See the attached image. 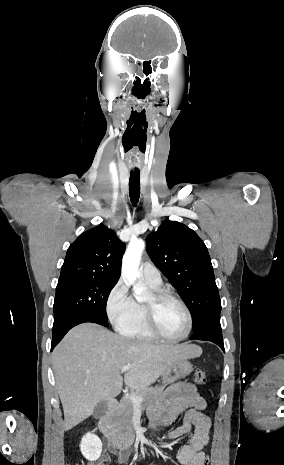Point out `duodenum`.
<instances>
[{
	"mask_svg": "<svg viewBox=\"0 0 284 465\" xmlns=\"http://www.w3.org/2000/svg\"><path fill=\"white\" fill-rule=\"evenodd\" d=\"M118 407L116 400H111L97 419L96 425L105 439L116 448H128L132 444L134 436L129 434H120L112 426L110 420Z\"/></svg>",
	"mask_w": 284,
	"mask_h": 465,
	"instance_id": "obj_1",
	"label": "duodenum"
}]
</instances>
